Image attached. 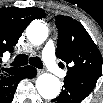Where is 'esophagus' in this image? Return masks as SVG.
<instances>
[{
	"instance_id": "1",
	"label": "esophagus",
	"mask_w": 103,
	"mask_h": 103,
	"mask_svg": "<svg viewBox=\"0 0 103 103\" xmlns=\"http://www.w3.org/2000/svg\"><path fill=\"white\" fill-rule=\"evenodd\" d=\"M37 73H38V75H40V74L44 73V70L38 69V70H37Z\"/></svg>"
}]
</instances>
